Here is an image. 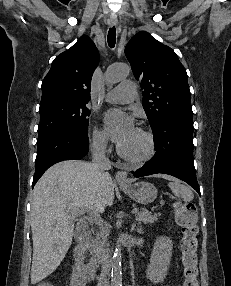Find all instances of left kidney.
Instances as JSON below:
<instances>
[{"label":"left kidney","mask_w":231,"mask_h":286,"mask_svg":"<svg viewBox=\"0 0 231 286\" xmlns=\"http://www.w3.org/2000/svg\"><path fill=\"white\" fill-rule=\"evenodd\" d=\"M172 241L168 237H158L154 244L150 263L146 269L148 279L153 283L163 282L170 266Z\"/></svg>","instance_id":"obj_1"}]
</instances>
